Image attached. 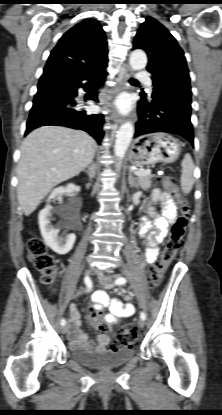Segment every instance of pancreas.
<instances>
[{"label":"pancreas","mask_w":222,"mask_h":415,"mask_svg":"<svg viewBox=\"0 0 222 415\" xmlns=\"http://www.w3.org/2000/svg\"><path fill=\"white\" fill-rule=\"evenodd\" d=\"M154 176L151 174H144V175H137L136 181L138 184V187H141L142 189H148L151 187L152 184V178Z\"/></svg>","instance_id":"cf45deb5"}]
</instances>
